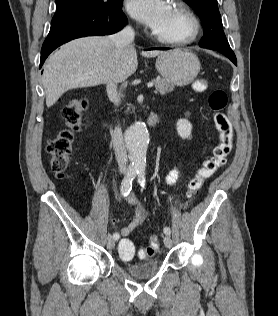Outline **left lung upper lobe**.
<instances>
[{
    "mask_svg": "<svg viewBox=\"0 0 278 316\" xmlns=\"http://www.w3.org/2000/svg\"><path fill=\"white\" fill-rule=\"evenodd\" d=\"M201 19L204 36L199 45L203 48L219 51L227 56L233 63L236 57L226 39L222 29V20L217 0H184Z\"/></svg>",
    "mask_w": 278,
    "mask_h": 316,
    "instance_id": "1",
    "label": "left lung upper lobe"
}]
</instances>
